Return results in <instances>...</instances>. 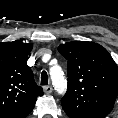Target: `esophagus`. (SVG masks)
<instances>
[{"label":"esophagus","mask_w":118,"mask_h":118,"mask_svg":"<svg viewBox=\"0 0 118 118\" xmlns=\"http://www.w3.org/2000/svg\"><path fill=\"white\" fill-rule=\"evenodd\" d=\"M44 92L46 93V94H50L51 92H52V86H50V85H48V86H45L44 88Z\"/></svg>","instance_id":"1"}]
</instances>
